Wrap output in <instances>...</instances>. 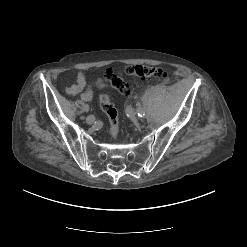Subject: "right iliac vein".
<instances>
[{"mask_svg": "<svg viewBox=\"0 0 247 247\" xmlns=\"http://www.w3.org/2000/svg\"><path fill=\"white\" fill-rule=\"evenodd\" d=\"M94 121H95V118H94L93 115H89V116L86 118V122H87L88 124H92V123H94Z\"/></svg>", "mask_w": 247, "mask_h": 247, "instance_id": "right-iliac-vein-1", "label": "right iliac vein"}]
</instances>
